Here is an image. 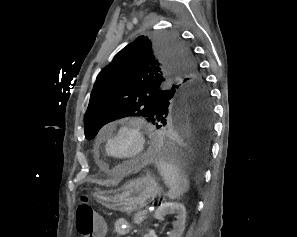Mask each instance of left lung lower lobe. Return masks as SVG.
<instances>
[{
  "mask_svg": "<svg viewBox=\"0 0 297 237\" xmlns=\"http://www.w3.org/2000/svg\"><path fill=\"white\" fill-rule=\"evenodd\" d=\"M213 127L211 101L174 104L160 122L149 154L182 166L197 167L206 159Z\"/></svg>",
  "mask_w": 297,
  "mask_h": 237,
  "instance_id": "left-lung-lower-lobe-1",
  "label": "left lung lower lobe"
}]
</instances>
